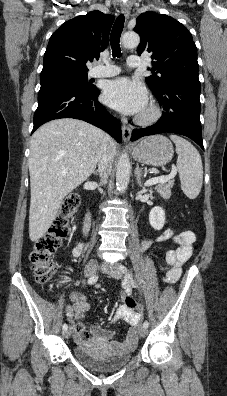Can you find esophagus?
Listing matches in <instances>:
<instances>
[{"label":"esophagus","mask_w":227,"mask_h":396,"mask_svg":"<svg viewBox=\"0 0 227 396\" xmlns=\"http://www.w3.org/2000/svg\"><path fill=\"white\" fill-rule=\"evenodd\" d=\"M130 5L128 3H123L121 5V11L122 13L125 15V17L127 18L130 14ZM122 136H123V141L125 143H128L130 141L131 138V128L128 127L127 125H123L122 126Z\"/></svg>","instance_id":"1"}]
</instances>
